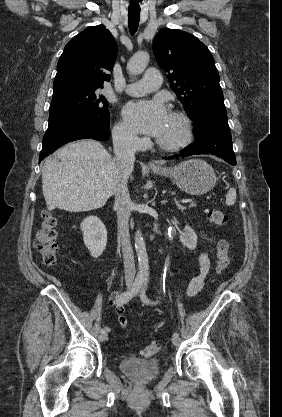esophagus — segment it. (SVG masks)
Returning a JSON list of instances; mask_svg holds the SVG:
<instances>
[{
	"mask_svg": "<svg viewBox=\"0 0 282 417\" xmlns=\"http://www.w3.org/2000/svg\"><path fill=\"white\" fill-rule=\"evenodd\" d=\"M149 166L154 167V166H156V164H155V163H153V162H150V163H149Z\"/></svg>",
	"mask_w": 282,
	"mask_h": 417,
	"instance_id": "esophagus-1",
	"label": "esophagus"
}]
</instances>
